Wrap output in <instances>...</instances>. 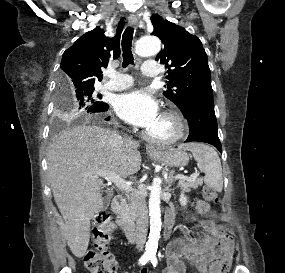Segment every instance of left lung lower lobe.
<instances>
[{"mask_svg":"<svg viewBox=\"0 0 285 273\" xmlns=\"http://www.w3.org/2000/svg\"><path fill=\"white\" fill-rule=\"evenodd\" d=\"M188 120L190 134L186 142L199 141L215 146L221 153L214 104H199L182 110Z\"/></svg>","mask_w":285,"mask_h":273,"instance_id":"left-lung-lower-lobe-1","label":"left lung lower lobe"}]
</instances>
